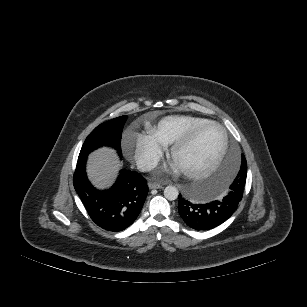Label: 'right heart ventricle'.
Returning <instances> with one entry per match:
<instances>
[{
	"mask_svg": "<svg viewBox=\"0 0 307 307\" xmlns=\"http://www.w3.org/2000/svg\"><path fill=\"white\" fill-rule=\"evenodd\" d=\"M207 121L194 115H169L160 119L151 132L162 144L171 145L190 129Z\"/></svg>",
	"mask_w": 307,
	"mask_h": 307,
	"instance_id": "right-heart-ventricle-1",
	"label": "right heart ventricle"
}]
</instances>
